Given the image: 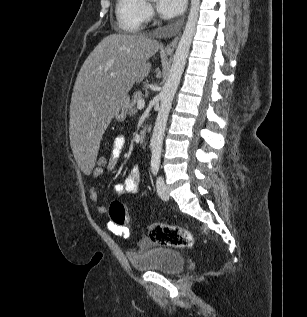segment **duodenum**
I'll list each match as a JSON object with an SVG mask.
<instances>
[{
  "instance_id": "1",
  "label": "duodenum",
  "mask_w": 307,
  "mask_h": 317,
  "mask_svg": "<svg viewBox=\"0 0 307 317\" xmlns=\"http://www.w3.org/2000/svg\"><path fill=\"white\" fill-rule=\"evenodd\" d=\"M145 138H146V130L143 129V130H141L139 132V140H140V142H144Z\"/></svg>"
}]
</instances>
